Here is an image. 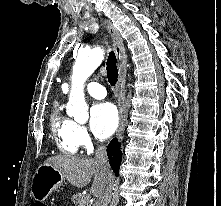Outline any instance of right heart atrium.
I'll return each mask as SVG.
<instances>
[{
  "mask_svg": "<svg viewBox=\"0 0 221 206\" xmlns=\"http://www.w3.org/2000/svg\"><path fill=\"white\" fill-rule=\"evenodd\" d=\"M77 140L79 146H82L86 150H90L92 148L93 145L92 138L86 127L82 125H77Z\"/></svg>",
  "mask_w": 221,
  "mask_h": 206,
  "instance_id": "right-heart-atrium-1",
  "label": "right heart atrium"
}]
</instances>
